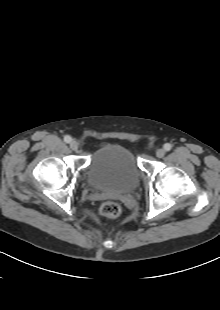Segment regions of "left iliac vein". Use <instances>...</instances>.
Wrapping results in <instances>:
<instances>
[{
  "mask_svg": "<svg viewBox=\"0 0 220 310\" xmlns=\"http://www.w3.org/2000/svg\"><path fill=\"white\" fill-rule=\"evenodd\" d=\"M165 154H166V152H165L164 149H158V150L156 151V156H157L158 158L164 157Z\"/></svg>",
  "mask_w": 220,
  "mask_h": 310,
  "instance_id": "left-iliac-vein-1",
  "label": "left iliac vein"
}]
</instances>
